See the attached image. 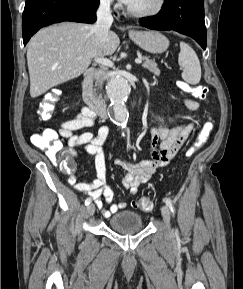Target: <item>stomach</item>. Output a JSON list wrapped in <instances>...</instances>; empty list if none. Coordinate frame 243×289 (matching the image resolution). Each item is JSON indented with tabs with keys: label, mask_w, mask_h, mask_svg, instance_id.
Masks as SVG:
<instances>
[{
	"label": "stomach",
	"mask_w": 243,
	"mask_h": 289,
	"mask_svg": "<svg viewBox=\"0 0 243 289\" xmlns=\"http://www.w3.org/2000/svg\"><path fill=\"white\" fill-rule=\"evenodd\" d=\"M130 38L149 53H162L169 46V40L158 31H131Z\"/></svg>",
	"instance_id": "obj_1"
}]
</instances>
